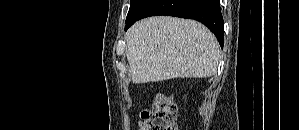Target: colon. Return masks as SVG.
Returning a JSON list of instances; mask_svg holds the SVG:
<instances>
[{
	"instance_id": "1",
	"label": "colon",
	"mask_w": 299,
	"mask_h": 130,
	"mask_svg": "<svg viewBox=\"0 0 299 130\" xmlns=\"http://www.w3.org/2000/svg\"><path fill=\"white\" fill-rule=\"evenodd\" d=\"M177 105L170 95L159 94L150 109L142 112L144 130H178Z\"/></svg>"
}]
</instances>
